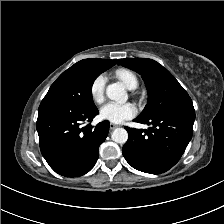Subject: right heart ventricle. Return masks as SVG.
I'll return each instance as SVG.
<instances>
[{"label": "right heart ventricle", "instance_id": "obj_1", "mask_svg": "<svg viewBox=\"0 0 224 224\" xmlns=\"http://www.w3.org/2000/svg\"><path fill=\"white\" fill-rule=\"evenodd\" d=\"M115 77L118 78L128 89H135L138 86V78L132 71L120 68L114 73Z\"/></svg>", "mask_w": 224, "mask_h": 224}]
</instances>
